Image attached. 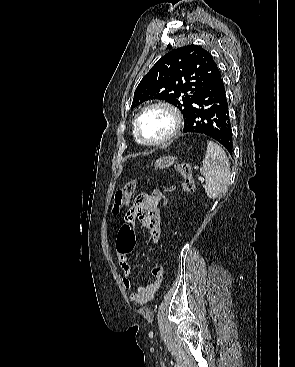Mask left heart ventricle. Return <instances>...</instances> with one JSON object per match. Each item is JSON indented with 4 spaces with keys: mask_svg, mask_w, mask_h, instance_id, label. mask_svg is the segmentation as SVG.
<instances>
[{
    "mask_svg": "<svg viewBox=\"0 0 295 367\" xmlns=\"http://www.w3.org/2000/svg\"><path fill=\"white\" fill-rule=\"evenodd\" d=\"M173 127L171 115L164 109L155 108L145 112L139 121V131L143 139L155 141L170 133Z\"/></svg>",
    "mask_w": 295,
    "mask_h": 367,
    "instance_id": "1",
    "label": "left heart ventricle"
}]
</instances>
